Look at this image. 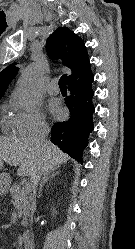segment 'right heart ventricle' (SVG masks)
I'll return each mask as SVG.
<instances>
[{
    "label": "right heart ventricle",
    "instance_id": "right-heart-ventricle-1",
    "mask_svg": "<svg viewBox=\"0 0 135 249\" xmlns=\"http://www.w3.org/2000/svg\"><path fill=\"white\" fill-rule=\"evenodd\" d=\"M4 128L8 133L13 132L14 129H13L12 122L10 119L5 120Z\"/></svg>",
    "mask_w": 135,
    "mask_h": 249
}]
</instances>
